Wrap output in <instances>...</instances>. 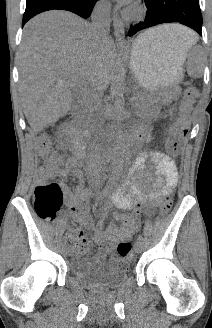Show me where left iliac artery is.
<instances>
[{
  "label": "left iliac artery",
  "mask_w": 212,
  "mask_h": 328,
  "mask_svg": "<svg viewBox=\"0 0 212 328\" xmlns=\"http://www.w3.org/2000/svg\"><path fill=\"white\" fill-rule=\"evenodd\" d=\"M137 240L140 241V242H142V243L144 242V238H143L142 235H139Z\"/></svg>",
  "instance_id": "obj_1"
}]
</instances>
